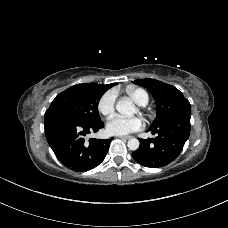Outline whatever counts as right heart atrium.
<instances>
[{"mask_svg": "<svg viewBox=\"0 0 228 228\" xmlns=\"http://www.w3.org/2000/svg\"><path fill=\"white\" fill-rule=\"evenodd\" d=\"M117 94L114 90L106 91L98 101V110L104 116H110L115 109Z\"/></svg>", "mask_w": 228, "mask_h": 228, "instance_id": "obj_1", "label": "right heart atrium"}]
</instances>
